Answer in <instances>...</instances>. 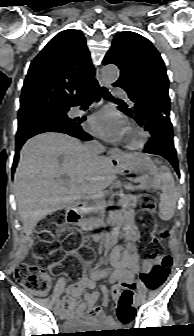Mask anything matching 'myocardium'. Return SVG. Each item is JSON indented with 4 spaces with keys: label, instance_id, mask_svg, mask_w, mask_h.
<instances>
[{
    "label": "myocardium",
    "instance_id": "1",
    "mask_svg": "<svg viewBox=\"0 0 194 336\" xmlns=\"http://www.w3.org/2000/svg\"><path fill=\"white\" fill-rule=\"evenodd\" d=\"M127 131L132 134V137H125L124 145L129 150H140L149 141V133L135 123H130Z\"/></svg>",
    "mask_w": 194,
    "mask_h": 336
}]
</instances>
